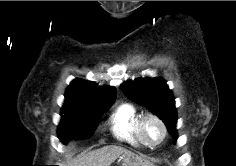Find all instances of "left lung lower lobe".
Instances as JSON below:
<instances>
[{
  "mask_svg": "<svg viewBox=\"0 0 236 166\" xmlns=\"http://www.w3.org/2000/svg\"><path fill=\"white\" fill-rule=\"evenodd\" d=\"M169 132L171 133V135H172V137H173V139H174L173 142H175V141L177 140V138H178L175 127H172V128L169 130Z\"/></svg>",
  "mask_w": 236,
  "mask_h": 166,
  "instance_id": "0a47b994",
  "label": "left lung lower lobe"
}]
</instances>
